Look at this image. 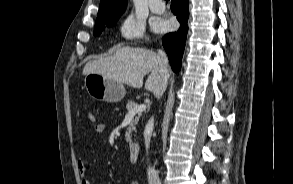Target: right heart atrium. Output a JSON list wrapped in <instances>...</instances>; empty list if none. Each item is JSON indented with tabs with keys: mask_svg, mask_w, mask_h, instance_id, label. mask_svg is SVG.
<instances>
[{
	"mask_svg": "<svg viewBox=\"0 0 293 184\" xmlns=\"http://www.w3.org/2000/svg\"><path fill=\"white\" fill-rule=\"evenodd\" d=\"M118 34L124 42H141L147 39L144 22L130 14L120 21Z\"/></svg>",
	"mask_w": 293,
	"mask_h": 184,
	"instance_id": "d8ad5b80",
	"label": "right heart atrium"
}]
</instances>
